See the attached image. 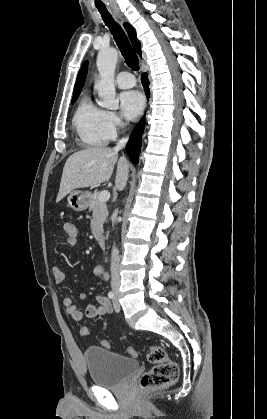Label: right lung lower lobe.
<instances>
[{
  "instance_id": "obj_1",
  "label": "right lung lower lobe",
  "mask_w": 267,
  "mask_h": 419,
  "mask_svg": "<svg viewBox=\"0 0 267 419\" xmlns=\"http://www.w3.org/2000/svg\"><path fill=\"white\" fill-rule=\"evenodd\" d=\"M142 85L144 87L147 97H149V80L146 73L142 75ZM144 126H145V119L143 118L139 121V123L133 129L130 139L126 146L127 153L131 161L134 163H138Z\"/></svg>"
}]
</instances>
